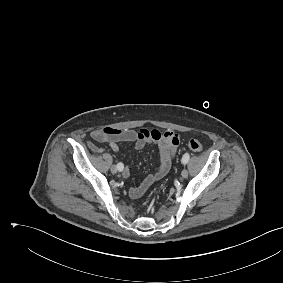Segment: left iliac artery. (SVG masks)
Instances as JSON below:
<instances>
[{
    "instance_id": "1",
    "label": "left iliac artery",
    "mask_w": 283,
    "mask_h": 283,
    "mask_svg": "<svg viewBox=\"0 0 283 283\" xmlns=\"http://www.w3.org/2000/svg\"><path fill=\"white\" fill-rule=\"evenodd\" d=\"M188 161H189V155L188 154H185L183 157H182V160H181V162H182V164H187L188 163Z\"/></svg>"
}]
</instances>
